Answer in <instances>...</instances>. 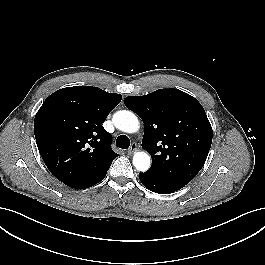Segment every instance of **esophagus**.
<instances>
[{
  "label": "esophagus",
  "mask_w": 265,
  "mask_h": 265,
  "mask_svg": "<svg viewBox=\"0 0 265 265\" xmlns=\"http://www.w3.org/2000/svg\"><path fill=\"white\" fill-rule=\"evenodd\" d=\"M137 150V144L135 142H133L130 146V148L128 149L127 153L129 155H131L132 153H134Z\"/></svg>",
  "instance_id": "esophagus-1"
}]
</instances>
